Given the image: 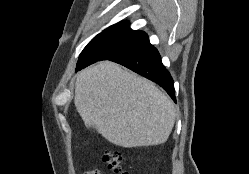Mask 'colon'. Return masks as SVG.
Instances as JSON below:
<instances>
[{
    "mask_svg": "<svg viewBox=\"0 0 249 174\" xmlns=\"http://www.w3.org/2000/svg\"><path fill=\"white\" fill-rule=\"evenodd\" d=\"M103 162L106 167L116 174H129L123 169L124 158L120 151L109 150L103 153Z\"/></svg>",
    "mask_w": 249,
    "mask_h": 174,
    "instance_id": "colon-1",
    "label": "colon"
}]
</instances>
